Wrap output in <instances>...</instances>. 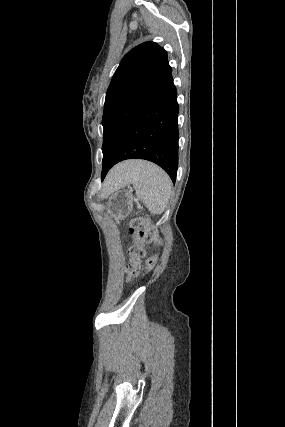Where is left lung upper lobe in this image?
Wrapping results in <instances>:
<instances>
[{
    "label": "left lung upper lobe",
    "instance_id": "5c2ea615",
    "mask_svg": "<svg viewBox=\"0 0 285 427\" xmlns=\"http://www.w3.org/2000/svg\"><path fill=\"white\" fill-rule=\"evenodd\" d=\"M171 73L166 50L155 42H144L123 57L105 98L102 180L111 168L125 129Z\"/></svg>",
    "mask_w": 285,
    "mask_h": 427
}]
</instances>
